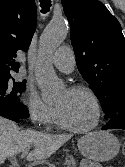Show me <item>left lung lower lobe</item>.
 I'll return each instance as SVG.
<instances>
[{"instance_id": "obj_1", "label": "left lung lower lobe", "mask_w": 125, "mask_h": 167, "mask_svg": "<svg viewBox=\"0 0 125 167\" xmlns=\"http://www.w3.org/2000/svg\"><path fill=\"white\" fill-rule=\"evenodd\" d=\"M114 128L125 130V113H118L111 117L107 124L102 127V130Z\"/></svg>"}]
</instances>
